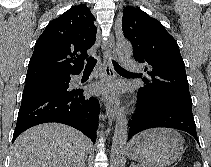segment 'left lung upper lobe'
Wrapping results in <instances>:
<instances>
[{"mask_svg":"<svg viewBox=\"0 0 211 167\" xmlns=\"http://www.w3.org/2000/svg\"><path fill=\"white\" fill-rule=\"evenodd\" d=\"M122 29L131 42L134 59L146 63L150 79L139 89L149 100L192 110L185 64L176 40L164 26L140 8L126 7Z\"/></svg>","mask_w":211,"mask_h":167,"instance_id":"left-lung-upper-lobe-1","label":"left lung upper lobe"}]
</instances>
